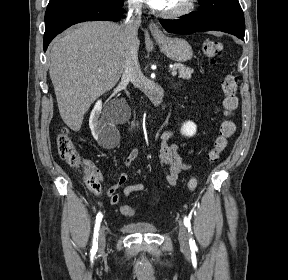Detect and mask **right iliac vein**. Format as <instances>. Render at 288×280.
<instances>
[{"mask_svg":"<svg viewBox=\"0 0 288 280\" xmlns=\"http://www.w3.org/2000/svg\"><path fill=\"white\" fill-rule=\"evenodd\" d=\"M105 243H106V236L104 228H102L98 239L99 251H102L105 248Z\"/></svg>","mask_w":288,"mask_h":280,"instance_id":"obj_1","label":"right iliac vein"}]
</instances>
